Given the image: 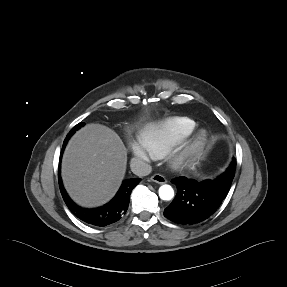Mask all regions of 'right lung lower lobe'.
I'll return each mask as SVG.
<instances>
[{
	"mask_svg": "<svg viewBox=\"0 0 287 287\" xmlns=\"http://www.w3.org/2000/svg\"><path fill=\"white\" fill-rule=\"evenodd\" d=\"M74 132H70L63 143L60 161L65 145ZM140 180H141L140 178H132L124 180L119 191L109 203L94 209L82 208L77 204H75L70 199L62 184L60 174H59V187L64 202L66 203L69 210L78 219L92 226L104 227L109 224L117 222L126 213L129 206L130 194L133 188L140 182Z\"/></svg>",
	"mask_w": 287,
	"mask_h": 287,
	"instance_id": "1",
	"label": "right lung lower lobe"
}]
</instances>
